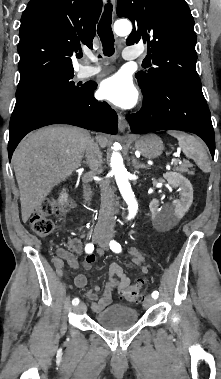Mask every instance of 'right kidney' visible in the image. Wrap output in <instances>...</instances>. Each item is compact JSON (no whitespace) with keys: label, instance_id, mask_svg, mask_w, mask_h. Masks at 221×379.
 <instances>
[{"label":"right kidney","instance_id":"right-kidney-1","mask_svg":"<svg viewBox=\"0 0 221 379\" xmlns=\"http://www.w3.org/2000/svg\"><path fill=\"white\" fill-rule=\"evenodd\" d=\"M67 200V194L66 192H63L60 196V201L63 202V201H66Z\"/></svg>","mask_w":221,"mask_h":379}]
</instances>
